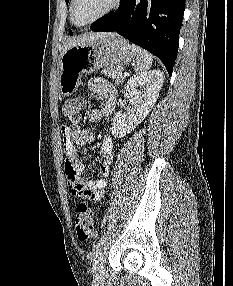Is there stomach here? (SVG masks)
<instances>
[{
  "label": "stomach",
  "mask_w": 233,
  "mask_h": 286,
  "mask_svg": "<svg viewBox=\"0 0 233 286\" xmlns=\"http://www.w3.org/2000/svg\"><path fill=\"white\" fill-rule=\"evenodd\" d=\"M134 56L130 43L112 33L67 49L58 67L61 95L74 93L84 73H93L100 68L122 67L130 63Z\"/></svg>",
  "instance_id": "obj_1"
}]
</instances>
